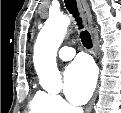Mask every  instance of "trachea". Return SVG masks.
Returning a JSON list of instances; mask_svg holds the SVG:
<instances>
[{
  "label": "trachea",
  "mask_w": 121,
  "mask_h": 113,
  "mask_svg": "<svg viewBox=\"0 0 121 113\" xmlns=\"http://www.w3.org/2000/svg\"><path fill=\"white\" fill-rule=\"evenodd\" d=\"M66 8L68 11L73 15L75 18V21L77 22V25L79 26V29L82 30L80 37H81V42L86 48H91L92 47V40L91 36L88 31L84 30L83 31V25L81 18L79 17V13L77 10L76 6V0H65Z\"/></svg>",
  "instance_id": "trachea-1"
}]
</instances>
